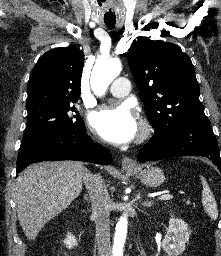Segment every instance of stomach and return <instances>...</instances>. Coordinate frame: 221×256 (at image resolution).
<instances>
[{
    "mask_svg": "<svg viewBox=\"0 0 221 256\" xmlns=\"http://www.w3.org/2000/svg\"><path fill=\"white\" fill-rule=\"evenodd\" d=\"M126 170L136 175L141 183L147 187L160 186L165 180L163 171L157 167H145L140 165L135 168H127Z\"/></svg>",
    "mask_w": 221,
    "mask_h": 256,
    "instance_id": "obj_1",
    "label": "stomach"
}]
</instances>
